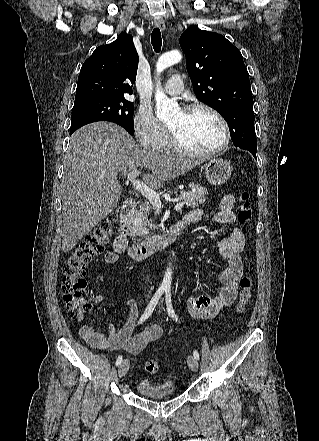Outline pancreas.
I'll use <instances>...</instances> for the list:
<instances>
[{"label":"pancreas","instance_id":"cf45deb5","mask_svg":"<svg viewBox=\"0 0 319 441\" xmlns=\"http://www.w3.org/2000/svg\"><path fill=\"white\" fill-rule=\"evenodd\" d=\"M189 187L192 191H181L176 199L183 201L188 208H196L203 204L205 195L207 194V189L191 182ZM152 209L148 202L142 203L136 208L130 218V222L127 229V235L132 239L141 238L151 234V230L155 229L156 226L152 224L151 219H148L147 215Z\"/></svg>","mask_w":319,"mask_h":441}]
</instances>
